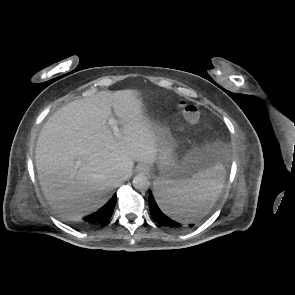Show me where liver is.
I'll return each mask as SVG.
<instances>
[{
  "label": "liver",
  "instance_id": "obj_1",
  "mask_svg": "<svg viewBox=\"0 0 295 295\" xmlns=\"http://www.w3.org/2000/svg\"><path fill=\"white\" fill-rule=\"evenodd\" d=\"M137 90L99 91L72 101L44 124L35 163L45 199L57 211L83 216L102 207L132 174L134 161L153 164L157 137ZM120 120V137L108 123Z\"/></svg>",
  "mask_w": 295,
  "mask_h": 295
}]
</instances>
